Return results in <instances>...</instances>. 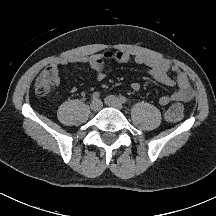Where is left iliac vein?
Returning a JSON list of instances; mask_svg holds the SVG:
<instances>
[{
  "label": "left iliac vein",
  "instance_id": "1",
  "mask_svg": "<svg viewBox=\"0 0 216 216\" xmlns=\"http://www.w3.org/2000/svg\"><path fill=\"white\" fill-rule=\"evenodd\" d=\"M105 104L121 110L123 108L122 102L116 96L109 95L105 98Z\"/></svg>",
  "mask_w": 216,
  "mask_h": 216
}]
</instances>
